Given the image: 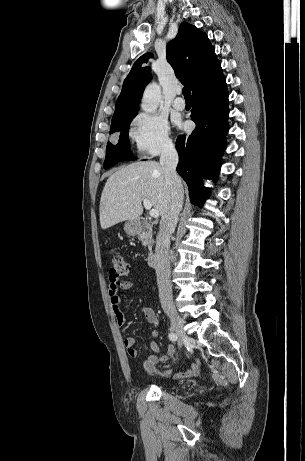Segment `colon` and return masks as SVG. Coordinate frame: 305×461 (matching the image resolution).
<instances>
[{
	"label": "colon",
	"mask_w": 305,
	"mask_h": 461,
	"mask_svg": "<svg viewBox=\"0 0 305 461\" xmlns=\"http://www.w3.org/2000/svg\"><path fill=\"white\" fill-rule=\"evenodd\" d=\"M110 263V277L119 279L131 274L130 265L122 255L112 252Z\"/></svg>",
	"instance_id": "colon-1"
}]
</instances>
